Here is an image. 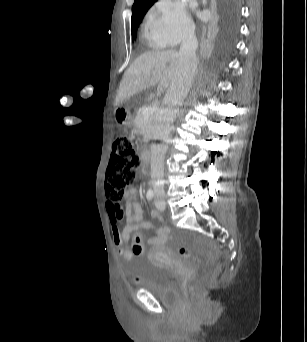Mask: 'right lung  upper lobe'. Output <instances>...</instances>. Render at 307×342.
I'll return each instance as SVG.
<instances>
[{"label":"right lung upper lobe","mask_w":307,"mask_h":342,"mask_svg":"<svg viewBox=\"0 0 307 342\" xmlns=\"http://www.w3.org/2000/svg\"><path fill=\"white\" fill-rule=\"evenodd\" d=\"M157 0H135L132 6V35L150 6ZM234 0H213L205 23V32L211 39H217L225 32L234 12Z\"/></svg>","instance_id":"1"}]
</instances>
